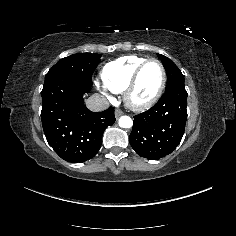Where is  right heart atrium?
I'll use <instances>...</instances> for the list:
<instances>
[{
	"mask_svg": "<svg viewBox=\"0 0 236 236\" xmlns=\"http://www.w3.org/2000/svg\"><path fill=\"white\" fill-rule=\"evenodd\" d=\"M94 85L98 90H100L104 95L108 96L107 90L102 86L97 78L94 79Z\"/></svg>",
	"mask_w": 236,
	"mask_h": 236,
	"instance_id": "d8ad5b80",
	"label": "right heart atrium"
}]
</instances>
